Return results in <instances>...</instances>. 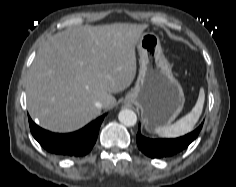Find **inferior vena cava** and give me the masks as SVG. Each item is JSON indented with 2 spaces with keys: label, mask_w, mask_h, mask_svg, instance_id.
I'll return each mask as SVG.
<instances>
[{
  "label": "inferior vena cava",
  "mask_w": 236,
  "mask_h": 187,
  "mask_svg": "<svg viewBox=\"0 0 236 187\" xmlns=\"http://www.w3.org/2000/svg\"><path fill=\"white\" fill-rule=\"evenodd\" d=\"M95 106L98 108V109H101L103 107V104L101 102H96L95 103Z\"/></svg>",
  "instance_id": "1"
}]
</instances>
